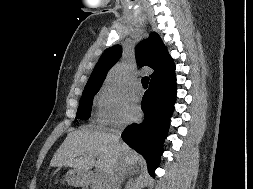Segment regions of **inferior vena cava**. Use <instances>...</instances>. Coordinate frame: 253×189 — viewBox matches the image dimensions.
I'll list each match as a JSON object with an SVG mask.
<instances>
[{"mask_svg": "<svg viewBox=\"0 0 253 189\" xmlns=\"http://www.w3.org/2000/svg\"><path fill=\"white\" fill-rule=\"evenodd\" d=\"M121 129L122 126L119 127L118 130H115L114 134H113V138L115 141H118L120 136H121ZM128 151H120V153L118 154V159H123V157L128 156ZM126 160H121L118 163H116L112 170L109 172V174L104 177V181H103V186L102 189H119L121 182L124 180L125 175H126V171H127V165H126Z\"/></svg>", "mask_w": 253, "mask_h": 189, "instance_id": "1", "label": "inferior vena cava"}]
</instances>
